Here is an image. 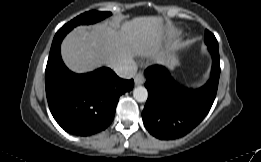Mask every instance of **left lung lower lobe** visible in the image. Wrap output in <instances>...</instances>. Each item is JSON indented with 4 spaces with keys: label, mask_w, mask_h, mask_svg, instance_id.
I'll list each match as a JSON object with an SVG mask.
<instances>
[{
    "label": "left lung lower lobe",
    "mask_w": 261,
    "mask_h": 162,
    "mask_svg": "<svg viewBox=\"0 0 261 162\" xmlns=\"http://www.w3.org/2000/svg\"><path fill=\"white\" fill-rule=\"evenodd\" d=\"M207 45L212 55V71L208 82L199 89L181 87L163 66L145 70L148 99L142 118L154 137L162 140L183 137L208 114L217 93L220 59L218 46Z\"/></svg>",
    "instance_id": "0a47b994"
}]
</instances>
